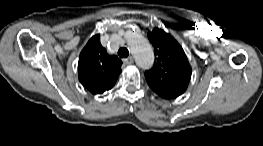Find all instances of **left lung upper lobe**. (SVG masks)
Wrapping results in <instances>:
<instances>
[{
    "mask_svg": "<svg viewBox=\"0 0 263 146\" xmlns=\"http://www.w3.org/2000/svg\"><path fill=\"white\" fill-rule=\"evenodd\" d=\"M156 57L153 67L145 72L149 87L164 99L183 94L191 79V66L180 44L159 28L148 32Z\"/></svg>",
    "mask_w": 263,
    "mask_h": 146,
    "instance_id": "1",
    "label": "left lung upper lobe"
}]
</instances>
